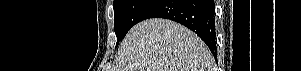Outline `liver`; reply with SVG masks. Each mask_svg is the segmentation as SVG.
<instances>
[{"label":"liver","instance_id":"obj_1","mask_svg":"<svg viewBox=\"0 0 301 71\" xmlns=\"http://www.w3.org/2000/svg\"><path fill=\"white\" fill-rule=\"evenodd\" d=\"M113 71H214L205 43L184 26L161 18L136 24L122 41Z\"/></svg>","mask_w":301,"mask_h":71}]
</instances>
